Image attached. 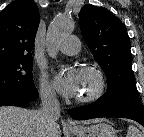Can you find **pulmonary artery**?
<instances>
[{
    "label": "pulmonary artery",
    "mask_w": 144,
    "mask_h": 137,
    "mask_svg": "<svg viewBox=\"0 0 144 137\" xmlns=\"http://www.w3.org/2000/svg\"><path fill=\"white\" fill-rule=\"evenodd\" d=\"M80 49V41L76 36L66 37L59 46V50L65 55H73Z\"/></svg>",
    "instance_id": "1"
}]
</instances>
